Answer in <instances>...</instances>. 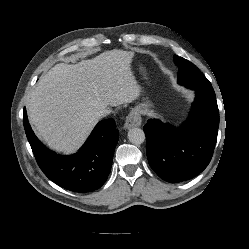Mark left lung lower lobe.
Wrapping results in <instances>:
<instances>
[{"instance_id": "1", "label": "left lung lower lobe", "mask_w": 249, "mask_h": 249, "mask_svg": "<svg viewBox=\"0 0 249 249\" xmlns=\"http://www.w3.org/2000/svg\"><path fill=\"white\" fill-rule=\"evenodd\" d=\"M218 127L215 92L196 90L189 117L180 128L155 119L144 126L149 165L170 183L197 176L212 158Z\"/></svg>"}]
</instances>
